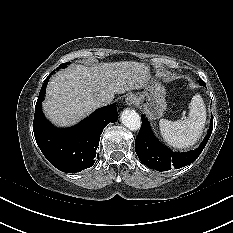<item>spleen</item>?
Instances as JSON below:
<instances>
[{"instance_id":"1","label":"spleen","mask_w":233,"mask_h":233,"mask_svg":"<svg viewBox=\"0 0 233 233\" xmlns=\"http://www.w3.org/2000/svg\"><path fill=\"white\" fill-rule=\"evenodd\" d=\"M206 122V107L199 94L189 104V115L185 119L159 121L160 133L171 146L179 149L193 146L201 137Z\"/></svg>"}]
</instances>
